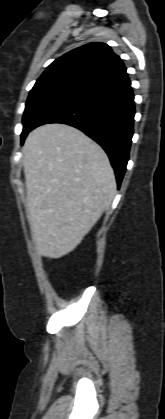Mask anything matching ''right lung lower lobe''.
Returning <instances> with one entry per match:
<instances>
[{"label":"right lung lower lobe","instance_id":"1","mask_svg":"<svg viewBox=\"0 0 165 419\" xmlns=\"http://www.w3.org/2000/svg\"><path fill=\"white\" fill-rule=\"evenodd\" d=\"M134 115V95L127 76L60 106L35 127L63 123L83 131L106 151L120 186L129 159Z\"/></svg>","mask_w":165,"mask_h":419}]
</instances>
